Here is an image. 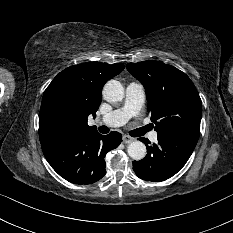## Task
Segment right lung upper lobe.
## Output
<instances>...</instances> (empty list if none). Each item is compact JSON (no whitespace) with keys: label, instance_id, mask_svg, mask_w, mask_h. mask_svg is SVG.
<instances>
[{"label":"right lung upper lobe","instance_id":"obj_1","mask_svg":"<svg viewBox=\"0 0 233 233\" xmlns=\"http://www.w3.org/2000/svg\"><path fill=\"white\" fill-rule=\"evenodd\" d=\"M124 69L122 63L88 62L60 72L43 94L39 113V138L47 141L79 132L96 130L88 126L101 103L105 81Z\"/></svg>","mask_w":233,"mask_h":233}]
</instances>
